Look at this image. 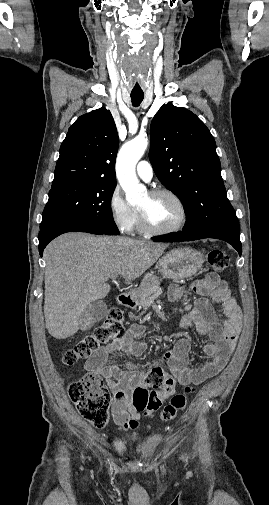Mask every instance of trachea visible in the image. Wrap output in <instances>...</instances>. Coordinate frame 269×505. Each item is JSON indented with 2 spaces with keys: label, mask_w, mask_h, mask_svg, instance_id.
<instances>
[{
  "label": "trachea",
  "mask_w": 269,
  "mask_h": 505,
  "mask_svg": "<svg viewBox=\"0 0 269 505\" xmlns=\"http://www.w3.org/2000/svg\"><path fill=\"white\" fill-rule=\"evenodd\" d=\"M130 96L133 106L138 107L143 101L144 93L142 91H132Z\"/></svg>",
  "instance_id": "trachea-1"
}]
</instances>
